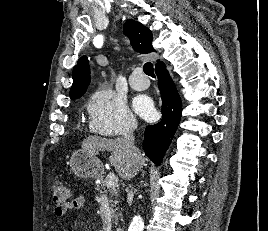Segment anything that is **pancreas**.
<instances>
[{"mask_svg": "<svg viewBox=\"0 0 268 231\" xmlns=\"http://www.w3.org/2000/svg\"><path fill=\"white\" fill-rule=\"evenodd\" d=\"M96 189L100 192V195H104V194L109 193V203L111 206L112 218L115 221V223H117V221H118L117 210L118 209L115 208L118 204L117 198L119 197V191H118L117 187L116 186L109 187L107 179H104L97 184Z\"/></svg>", "mask_w": 268, "mask_h": 231, "instance_id": "obj_1", "label": "pancreas"}]
</instances>
